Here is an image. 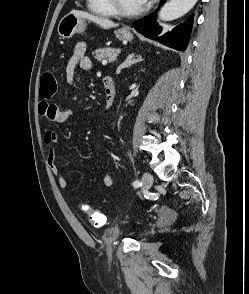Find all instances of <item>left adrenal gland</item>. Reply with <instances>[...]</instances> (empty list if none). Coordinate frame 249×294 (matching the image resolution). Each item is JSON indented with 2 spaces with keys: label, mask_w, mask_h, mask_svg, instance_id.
Instances as JSON below:
<instances>
[{
  "label": "left adrenal gland",
  "mask_w": 249,
  "mask_h": 294,
  "mask_svg": "<svg viewBox=\"0 0 249 294\" xmlns=\"http://www.w3.org/2000/svg\"><path fill=\"white\" fill-rule=\"evenodd\" d=\"M142 60L143 59L141 56H135V54H129L126 60L117 67L116 73L119 74L123 68H128L132 66L133 64H136L137 62H140Z\"/></svg>",
  "instance_id": "a2214340"
}]
</instances>
